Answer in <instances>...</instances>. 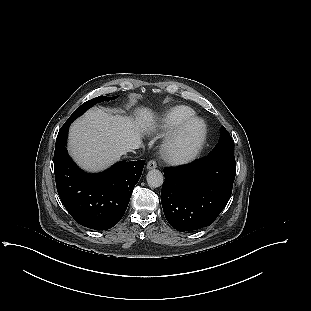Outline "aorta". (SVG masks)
I'll return each mask as SVG.
<instances>
[{"label": "aorta", "mask_w": 311, "mask_h": 311, "mask_svg": "<svg viewBox=\"0 0 311 311\" xmlns=\"http://www.w3.org/2000/svg\"><path fill=\"white\" fill-rule=\"evenodd\" d=\"M147 183L152 188H157L162 186L164 182V177L161 171L157 169H152L148 172L146 176Z\"/></svg>", "instance_id": "1"}]
</instances>
